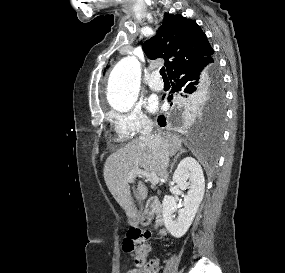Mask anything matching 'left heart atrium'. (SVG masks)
Masks as SVG:
<instances>
[{
    "instance_id": "obj_1",
    "label": "left heart atrium",
    "mask_w": 285,
    "mask_h": 273,
    "mask_svg": "<svg viewBox=\"0 0 285 273\" xmlns=\"http://www.w3.org/2000/svg\"><path fill=\"white\" fill-rule=\"evenodd\" d=\"M148 109L151 111V112H155L157 110V102L154 101V100H150L148 102V105H147Z\"/></svg>"
}]
</instances>
